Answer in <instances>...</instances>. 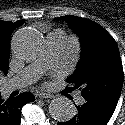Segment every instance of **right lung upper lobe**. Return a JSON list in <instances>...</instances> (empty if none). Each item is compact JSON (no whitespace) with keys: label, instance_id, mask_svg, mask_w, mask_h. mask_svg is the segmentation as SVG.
Here are the masks:
<instances>
[{"label":"right lung upper lobe","instance_id":"obj_1","mask_svg":"<svg viewBox=\"0 0 125 125\" xmlns=\"http://www.w3.org/2000/svg\"><path fill=\"white\" fill-rule=\"evenodd\" d=\"M25 20L15 23L0 20V73L7 74L10 58V36L12 32L22 24Z\"/></svg>","mask_w":125,"mask_h":125}]
</instances>
